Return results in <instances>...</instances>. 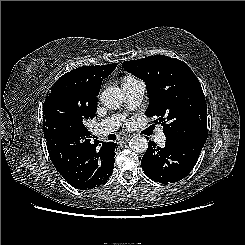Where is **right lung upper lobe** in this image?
<instances>
[{
    "instance_id": "1",
    "label": "right lung upper lobe",
    "mask_w": 245,
    "mask_h": 245,
    "mask_svg": "<svg viewBox=\"0 0 245 245\" xmlns=\"http://www.w3.org/2000/svg\"><path fill=\"white\" fill-rule=\"evenodd\" d=\"M117 63L85 66L61 76L45 97L43 130L46 141L64 138L70 144L90 140L85 127L95 117L101 82Z\"/></svg>"
}]
</instances>
